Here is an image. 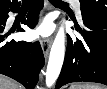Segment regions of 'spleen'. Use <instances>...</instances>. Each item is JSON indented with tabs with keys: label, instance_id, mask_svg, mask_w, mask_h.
I'll return each instance as SVG.
<instances>
[{
	"label": "spleen",
	"instance_id": "1",
	"mask_svg": "<svg viewBox=\"0 0 107 89\" xmlns=\"http://www.w3.org/2000/svg\"><path fill=\"white\" fill-rule=\"evenodd\" d=\"M70 89H104V87L90 84H72Z\"/></svg>",
	"mask_w": 107,
	"mask_h": 89
}]
</instances>
